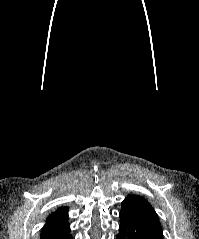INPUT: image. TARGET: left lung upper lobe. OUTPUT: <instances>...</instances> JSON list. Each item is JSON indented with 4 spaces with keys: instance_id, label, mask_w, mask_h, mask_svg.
<instances>
[{
    "instance_id": "5c2ea615",
    "label": "left lung upper lobe",
    "mask_w": 199,
    "mask_h": 239,
    "mask_svg": "<svg viewBox=\"0 0 199 239\" xmlns=\"http://www.w3.org/2000/svg\"><path fill=\"white\" fill-rule=\"evenodd\" d=\"M121 211L130 212L135 214L148 222L152 223L160 232L162 227L158 216L151 204L143 197L136 195H128L127 198L122 202Z\"/></svg>"
}]
</instances>
